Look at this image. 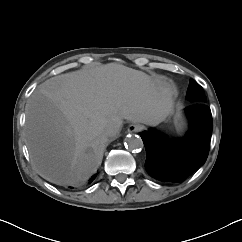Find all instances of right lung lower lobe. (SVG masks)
<instances>
[{"mask_svg":"<svg viewBox=\"0 0 242 242\" xmlns=\"http://www.w3.org/2000/svg\"><path fill=\"white\" fill-rule=\"evenodd\" d=\"M96 175H94V176L91 177V179L89 180V183H91L95 179Z\"/></svg>","mask_w":242,"mask_h":242,"instance_id":"98d812e1","label":"right lung lower lobe"}]
</instances>
